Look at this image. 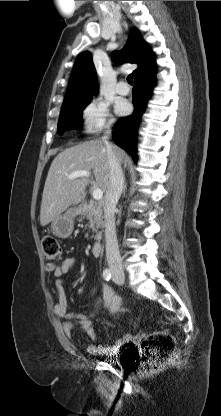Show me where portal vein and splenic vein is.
Segmentation results:
<instances>
[{
  "label": "portal vein and splenic vein",
  "instance_id": "18ae733b",
  "mask_svg": "<svg viewBox=\"0 0 221 416\" xmlns=\"http://www.w3.org/2000/svg\"><path fill=\"white\" fill-rule=\"evenodd\" d=\"M90 176H91L90 172L85 171V170H80V171H75V172L69 174L68 178L70 180H73V179H76V178H79V177L88 178ZM92 196H93V199H95V200H101L102 197H103V191L100 188H95L93 190Z\"/></svg>",
  "mask_w": 221,
  "mask_h": 416
}]
</instances>
